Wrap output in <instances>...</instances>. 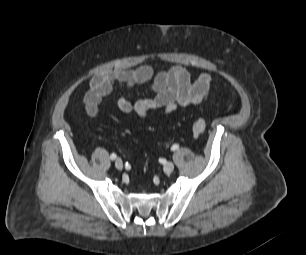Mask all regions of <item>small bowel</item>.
<instances>
[{"label": "small bowel", "mask_w": 306, "mask_h": 255, "mask_svg": "<svg viewBox=\"0 0 306 255\" xmlns=\"http://www.w3.org/2000/svg\"><path fill=\"white\" fill-rule=\"evenodd\" d=\"M151 81L153 96L131 102L121 96L117 101L118 109L129 118L144 119L148 112L162 109L166 114L191 104L205 101L212 89V78L208 73L194 76L190 69L174 66L154 74L150 65L135 69H114L99 73L91 78L84 103L87 114L96 117L101 100L113 89L134 87Z\"/></svg>", "instance_id": "small-bowel-1"}]
</instances>
